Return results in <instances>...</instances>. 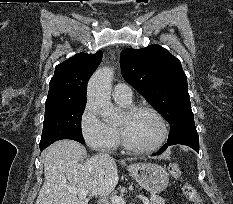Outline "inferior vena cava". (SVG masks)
Instances as JSON below:
<instances>
[{
	"mask_svg": "<svg viewBox=\"0 0 233 204\" xmlns=\"http://www.w3.org/2000/svg\"><path fill=\"white\" fill-rule=\"evenodd\" d=\"M99 157L101 159H103V160H110L111 159V157L108 154H106V153L105 154L104 153H100Z\"/></svg>",
	"mask_w": 233,
	"mask_h": 204,
	"instance_id": "602c4592",
	"label": "inferior vena cava"
}]
</instances>
